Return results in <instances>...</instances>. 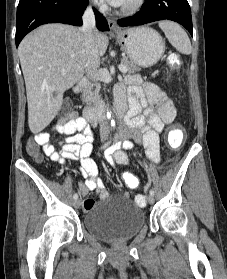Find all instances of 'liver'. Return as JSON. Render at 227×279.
<instances>
[{"label": "liver", "mask_w": 227, "mask_h": 279, "mask_svg": "<svg viewBox=\"0 0 227 279\" xmlns=\"http://www.w3.org/2000/svg\"><path fill=\"white\" fill-rule=\"evenodd\" d=\"M95 38L99 56H103L109 39L97 30ZM18 54L26 85L28 124L36 134L57 115L64 92L84 75L87 54L83 30L58 23L42 25L22 40Z\"/></svg>", "instance_id": "6515ba94"}]
</instances>
